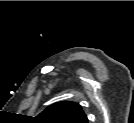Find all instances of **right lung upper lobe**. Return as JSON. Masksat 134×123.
Returning a JSON list of instances; mask_svg holds the SVG:
<instances>
[{
    "mask_svg": "<svg viewBox=\"0 0 134 123\" xmlns=\"http://www.w3.org/2000/svg\"><path fill=\"white\" fill-rule=\"evenodd\" d=\"M34 120L39 123H88L81 106L70 101L52 104Z\"/></svg>",
    "mask_w": 134,
    "mask_h": 123,
    "instance_id": "1",
    "label": "right lung upper lobe"
}]
</instances>
